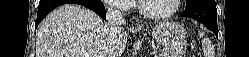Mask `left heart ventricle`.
<instances>
[{
	"label": "left heart ventricle",
	"instance_id": "left-heart-ventricle-1",
	"mask_svg": "<svg viewBox=\"0 0 249 57\" xmlns=\"http://www.w3.org/2000/svg\"><path fill=\"white\" fill-rule=\"evenodd\" d=\"M144 8L152 14H161L174 7V0H143Z\"/></svg>",
	"mask_w": 249,
	"mask_h": 57
}]
</instances>
